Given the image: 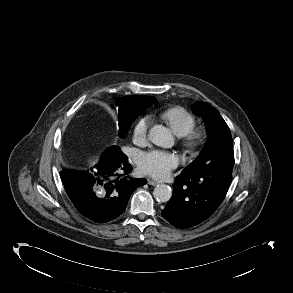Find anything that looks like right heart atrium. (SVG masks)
<instances>
[{"mask_svg": "<svg viewBox=\"0 0 293 293\" xmlns=\"http://www.w3.org/2000/svg\"><path fill=\"white\" fill-rule=\"evenodd\" d=\"M150 124L151 118L149 116H144L137 120L133 127V139L135 142L142 143L146 140Z\"/></svg>", "mask_w": 293, "mask_h": 293, "instance_id": "1", "label": "right heart atrium"}]
</instances>
